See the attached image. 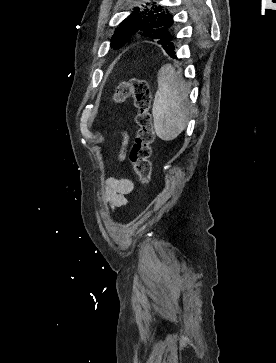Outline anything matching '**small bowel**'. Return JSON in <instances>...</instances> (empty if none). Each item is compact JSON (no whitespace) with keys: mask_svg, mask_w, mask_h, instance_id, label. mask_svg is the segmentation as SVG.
Masks as SVG:
<instances>
[{"mask_svg":"<svg viewBox=\"0 0 276 363\" xmlns=\"http://www.w3.org/2000/svg\"><path fill=\"white\" fill-rule=\"evenodd\" d=\"M129 143L127 134L123 135L121 150L119 154L120 161L126 157V150ZM134 189V182L129 178L109 177L104 185L103 200L111 209H115L129 203L127 195Z\"/></svg>","mask_w":276,"mask_h":363,"instance_id":"small-bowel-1","label":"small bowel"}]
</instances>
